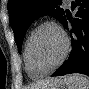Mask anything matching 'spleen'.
Wrapping results in <instances>:
<instances>
[{"label":"spleen","instance_id":"spleen-1","mask_svg":"<svg viewBox=\"0 0 89 89\" xmlns=\"http://www.w3.org/2000/svg\"><path fill=\"white\" fill-rule=\"evenodd\" d=\"M72 89H88L89 80L82 74H71L64 78Z\"/></svg>","mask_w":89,"mask_h":89}]
</instances>
